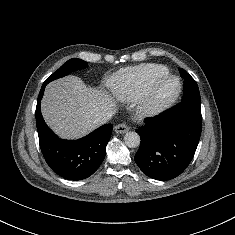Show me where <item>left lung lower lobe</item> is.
Wrapping results in <instances>:
<instances>
[{"label":"left lung lower lobe","mask_w":235,"mask_h":235,"mask_svg":"<svg viewBox=\"0 0 235 235\" xmlns=\"http://www.w3.org/2000/svg\"><path fill=\"white\" fill-rule=\"evenodd\" d=\"M184 78L182 101L138 127L141 144L134 156L139 168L156 180L180 175L191 162L202 130L201 99L191 97L193 87Z\"/></svg>","instance_id":"obj_1"}]
</instances>
